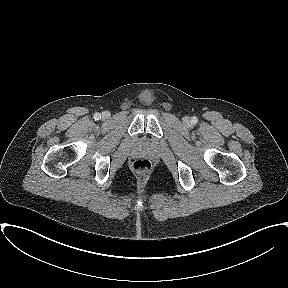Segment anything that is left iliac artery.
<instances>
[{
    "label": "left iliac artery",
    "mask_w": 288,
    "mask_h": 288,
    "mask_svg": "<svg viewBox=\"0 0 288 288\" xmlns=\"http://www.w3.org/2000/svg\"><path fill=\"white\" fill-rule=\"evenodd\" d=\"M197 121H198V119H197L196 117H193L192 120H191V123H192V124H196Z\"/></svg>",
    "instance_id": "obj_1"
}]
</instances>
